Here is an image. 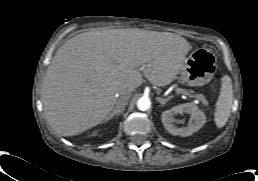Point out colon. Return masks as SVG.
I'll list each match as a JSON object with an SVG mask.
<instances>
[{"label":"colon","mask_w":258,"mask_h":181,"mask_svg":"<svg viewBox=\"0 0 258 181\" xmlns=\"http://www.w3.org/2000/svg\"><path fill=\"white\" fill-rule=\"evenodd\" d=\"M221 80V76H217L216 79H215V83H218L219 81Z\"/></svg>","instance_id":"colon-1"}]
</instances>
